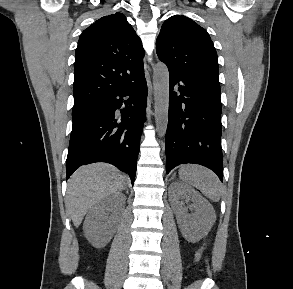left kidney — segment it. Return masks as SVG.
Listing matches in <instances>:
<instances>
[{"instance_id": "left-kidney-1", "label": "left kidney", "mask_w": 293, "mask_h": 289, "mask_svg": "<svg viewBox=\"0 0 293 289\" xmlns=\"http://www.w3.org/2000/svg\"><path fill=\"white\" fill-rule=\"evenodd\" d=\"M170 190L172 192L171 206L182 235L189 242L199 241L208 233L215 220V211L212 205L197 191L182 182L172 183ZM180 199L192 201L194 214L186 213Z\"/></svg>"}]
</instances>
